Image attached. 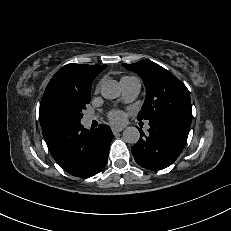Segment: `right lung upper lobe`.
Wrapping results in <instances>:
<instances>
[{
  "label": "right lung upper lobe",
  "mask_w": 231,
  "mask_h": 231,
  "mask_svg": "<svg viewBox=\"0 0 231 231\" xmlns=\"http://www.w3.org/2000/svg\"><path fill=\"white\" fill-rule=\"evenodd\" d=\"M107 67V65L67 64L63 66L51 78L41 100L39 119L46 142L52 141L63 129L50 123L43 112V102L46 96L55 89H66L84 95H90L91 84L95 77Z\"/></svg>",
  "instance_id": "cb5924a9"
}]
</instances>
